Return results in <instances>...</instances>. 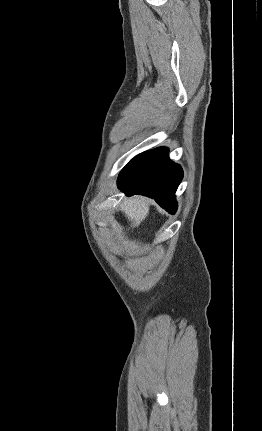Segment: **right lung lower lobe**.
Wrapping results in <instances>:
<instances>
[{"label": "right lung lower lobe", "mask_w": 262, "mask_h": 431, "mask_svg": "<svg viewBox=\"0 0 262 431\" xmlns=\"http://www.w3.org/2000/svg\"><path fill=\"white\" fill-rule=\"evenodd\" d=\"M182 178V168L169 159L168 149L158 147L135 156L119 174L118 187L127 196L151 197L174 214L175 192Z\"/></svg>", "instance_id": "obj_1"}]
</instances>
